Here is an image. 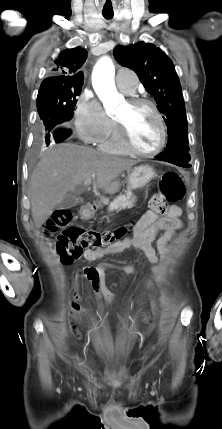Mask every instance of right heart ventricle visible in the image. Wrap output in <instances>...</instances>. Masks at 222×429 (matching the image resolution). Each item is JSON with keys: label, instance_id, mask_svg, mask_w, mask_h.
Here are the masks:
<instances>
[{"label": "right heart ventricle", "instance_id": "1", "mask_svg": "<svg viewBox=\"0 0 222 429\" xmlns=\"http://www.w3.org/2000/svg\"><path fill=\"white\" fill-rule=\"evenodd\" d=\"M99 147L102 151L111 154H124L127 152L120 140L116 124H114L110 133L100 141Z\"/></svg>", "mask_w": 222, "mask_h": 429}]
</instances>
